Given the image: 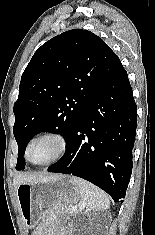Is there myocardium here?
I'll return each mask as SVG.
<instances>
[{"label":"myocardium","instance_id":"f54148a6","mask_svg":"<svg viewBox=\"0 0 155 235\" xmlns=\"http://www.w3.org/2000/svg\"><path fill=\"white\" fill-rule=\"evenodd\" d=\"M47 138H51V139H55L58 141L60 148L58 153L51 158L50 160L43 162V163H35L33 162L30 157V150L32 148V146L43 139H47ZM69 148H70V142L68 137L63 134L62 132L59 131H48V132H44L42 134L37 135L36 137H34L31 142L29 143V145L27 146L26 150H25V159L31 163L32 165L35 166H48V165H52L54 163L59 162L60 160H62L69 152Z\"/></svg>","mask_w":155,"mask_h":235}]
</instances>
